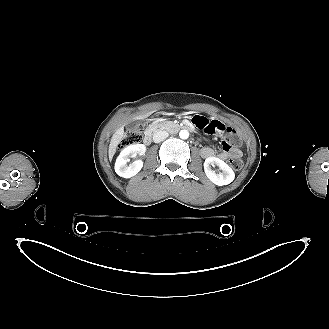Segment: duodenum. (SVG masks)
<instances>
[{
    "label": "duodenum",
    "instance_id": "obj_1",
    "mask_svg": "<svg viewBox=\"0 0 329 329\" xmlns=\"http://www.w3.org/2000/svg\"><path fill=\"white\" fill-rule=\"evenodd\" d=\"M182 129H190V127L188 125H181ZM143 142L145 145H149L152 142V132L148 131L143 139Z\"/></svg>",
    "mask_w": 329,
    "mask_h": 329
}]
</instances>
